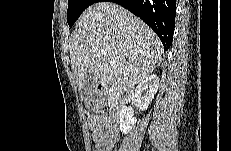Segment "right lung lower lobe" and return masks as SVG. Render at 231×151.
I'll return each mask as SVG.
<instances>
[{"label":"right lung lower lobe","mask_w":231,"mask_h":151,"mask_svg":"<svg viewBox=\"0 0 231 151\" xmlns=\"http://www.w3.org/2000/svg\"><path fill=\"white\" fill-rule=\"evenodd\" d=\"M110 2L121 5L141 18L158 35L165 50L171 46L176 0H110Z\"/></svg>","instance_id":"right-lung-lower-lobe-1"}]
</instances>
